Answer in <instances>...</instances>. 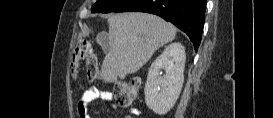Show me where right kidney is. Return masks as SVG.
<instances>
[{
  "mask_svg": "<svg viewBox=\"0 0 273 118\" xmlns=\"http://www.w3.org/2000/svg\"><path fill=\"white\" fill-rule=\"evenodd\" d=\"M185 49L181 43L168 45L151 64L144 88L145 103L157 114L168 112L177 101L184 82ZM161 69L165 74L161 76Z\"/></svg>",
  "mask_w": 273,
  "mask_h": 118,
  "instance_id": "ca27d5eb",
  "label": "right kidney"
}]
</instances>
